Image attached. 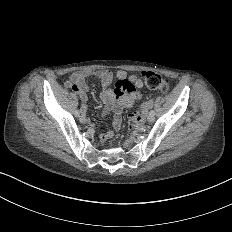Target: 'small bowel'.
I'll use <instances>...</instances> for the list:
<instances>
[{
	"label": "small bowel",
	"instance_id": "small-bowel-1",
	"mask_svg": "<svg viewBox=\"0 0 232 232\" xmlns=\"http://www.w3.org/2000/svg\"><path fill=\"white\" fill-rule=\"evenodd\" d=\"M117 76L118 81L113 85L111 83V71L108 69H77L70 71L69 77L65 81V86L72 88L81 97L79 119L84 121L87 117L90 92L85 79L95 77L98 80L101 86V98L105 102L106 108L114 111L113 130L100 136L101 143L113 137L114 132L121 127L124 109L131 108L134 101L145 95L144 91L136 90V88L142 86L140 79L130 77L125 69H119Z\"/></svg>",
	"mask_w": 232,
	"mask_h": 232
}]
</instances>
